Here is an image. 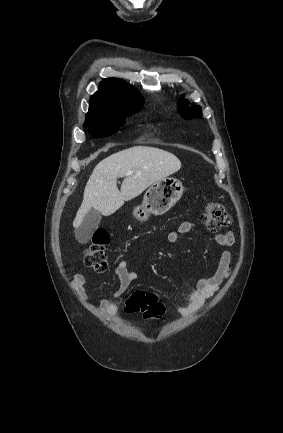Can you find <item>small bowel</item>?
Masks as SVG:
<instances>
[{
  "instance_id": "small-bowel-1",
  "label": "small bowel",
  "mask_w": 283,
  "mask_h": 433,
  "mask_svg": "<svg viewBox=\"0 0 283 433\" xmlns=\"http://www.w3.org/2000/svg\"><path fill=\"white\" fill-rule=\"evenodd\" d=\"M193 228V222H183L177 229L168 233L167 239L171 243H176L182 235L190 232ZM214 239L218 245L224 248L219 257L217 267L210 276L201 278L195 285L191 286L187 302L184 305L176 306L175 310L180 317L185 318L194 314L207 298L220 291L223 281L231 274L234 235L232 232L217 233ZM115 274L120 282L119 288L114 294V299H118L128 290L132 281L137 278V274L129 268L128 262L125 260H121L117 264ZM72 286L80 300L83 302L87 301L89 285L86 277L76 274L72 279ZM99 308L106 314H115L118 310L117 303L113 299L108 298L100 302Z\"/></svg>"
}]
</instances>
